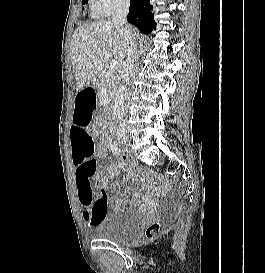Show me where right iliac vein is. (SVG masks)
Segmentation results:
<instances>
[{
  "instance_id": "63e3f726",
  "label": "right iliac vein",
  "mask_w": 265,
  "mask_h": 273,
  "mask_svg": "<svg viewBox=\"0 0 265 273\" xmlns=\"http://www.w3.org/2000/svg\"><path fill=\"white\" fill-rule=\"evenodd\" d=\"M127 140L125 137L120 136L119 141Z\"/></svg>"
}]
</instances>
